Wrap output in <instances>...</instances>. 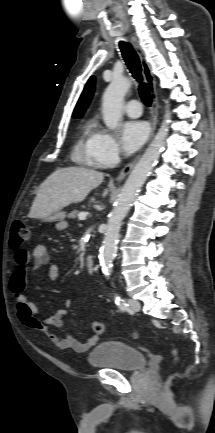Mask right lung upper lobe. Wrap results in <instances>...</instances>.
Wrapping results in <instances>:
<instances>
[{
    "label": "right lung upper lobe",
    "instance_id": "1",
    "mask_svg": "<svg viewBox=\"0 0 215 433\" xmlns=\"http://www.w3.org/2000/svg\"><path fill=\"white\" fill-rule=\"evenodd\" d=\"M94 87H95V79L92 76L88 80V82H87V84H86V86H85V88L81 94V97H80L79 101L77 102V105H76L75 110H74L73 115H72L73 118H80L82 116V114L84 113V111L86 110V108L88 107V105L92 99Z\"/></svg>",
    "mask_w": 215,
    "mask_h": 433
}]
</instances>
